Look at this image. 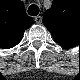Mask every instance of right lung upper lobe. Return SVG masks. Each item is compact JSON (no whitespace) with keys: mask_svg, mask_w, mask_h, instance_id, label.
<instances>
[{"mask_svg":"<svg viewBox=\"0 0 80 80\" xmlns=\"http://www.w3.org/2000/svg\"><path fill=\"white\" fill-rule=\"evenodd\" d=\"M33 24V19L27 16L23 4L19 1L8 3L0 13V44L3 47L17 45L24 31Z\"/></svg>","mask_w":80,"mask_h":80,"instance_id":"right-lung-upper-lobe-1","label":"right lung upper lobe"}]
</instances>
